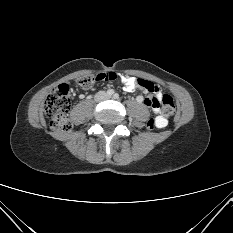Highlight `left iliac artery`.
<instances>
[{"label":"left iliac artery","mask_w":233,"mask_h":233,"mask_svg":"<svg viewBox=\"0 0 233 233\" xmlns=\"http://www.w3.org/2000/svg\"><path fill=\"white\" fill-rule=\"evenodd\" d=\"M115 99H118L119 98V94H114V96H113Z\"/></svg>","instance_id":"1"}]
</instances>
